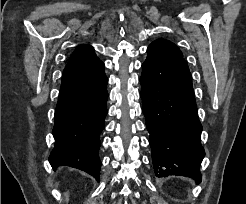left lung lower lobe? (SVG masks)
Segmentation results:
<instances>
[{"instance_id":"left-lung-lower-lobe-1","label":"left lung lower lobe","mask_w":246,"mask_h":204,"mask_svg":"<svg viewBox=\"0 0 246 204\" xmlns=\"http://www.w3.org/2000/svg\"><path fill=\"white\" fill-rule=\"evenodd\" d=\"M142 65L141 98L157 177L186 176L201 182L202 125L184 58L150 45Z\"/></svg>"}]
</instances>
